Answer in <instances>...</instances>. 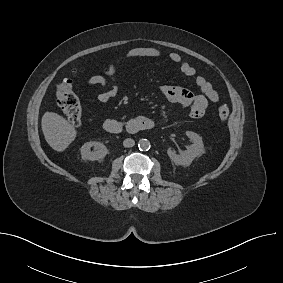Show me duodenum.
Returning <instances> with one entry per match:
<instances>
[{
	"mask_svg": "<svg viewBox=\"0 0 283 283\" xmlns=\"http://www.w3.org/2000/svg\"><path fill=\"white\" fill-rule=\"evenodd\" d=\"M153 127L154 122L144 116L131 118L126 123L117 119L109 118L103 123L104 130L110 134H119L124 129L134 134L141 131L151 130Z\"/></svg>",
	"mask_w": 283,
	"mask_h": 283,
	"instance_id": "obj_1",
	"label": "duodenum"
}]
</instances>
